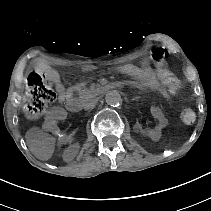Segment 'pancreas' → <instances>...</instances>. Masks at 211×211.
Instances as JSON below:
<instances>
[{"mask_svg": "<svg viewBox=\"0 0 211 211\" xmlns=\"http://www.w3.org/2000/svg\"><path fill=\"white\" fill-rule=\"evenodd\" d=\"M92 92H93L92 89H83L82 91H80L79 95L81 101L83 102L88 101L93 96Z\"/></svg>", "mask_w": 211, "mask_h": 211, "instance_id": "pancreas-1", "label": "pancreas"}]
</instances>
